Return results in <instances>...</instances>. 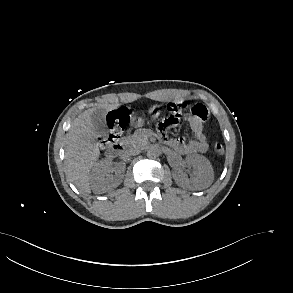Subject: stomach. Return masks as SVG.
Masks as SVG:
<instances>
[{"instance_id":"stomach-1","label":"stomach","mask_w":293,"mask_h":293,"mask_svg":"<svg viewBox=\"0 0 293 293\" xmlns=\"http://www.w3.org/2000/svg\"><path fill=\"white\" fill-rule=\"evenodd\" d=\"M160 113H161L160 109L155 105L149 109V115L152 119L158 118ZM144 122H145V119L141 116H133L132 117V124L135 127L142 126L144 124Z\"/></svg>"}]
</instances>
